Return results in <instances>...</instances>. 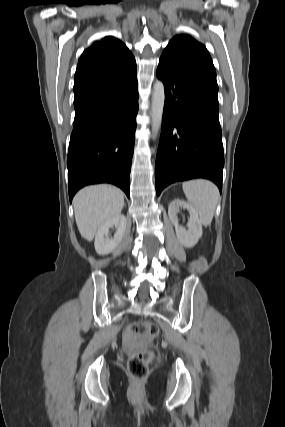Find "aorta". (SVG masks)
Masks as SVG:
<instances>
[{
  "instance_id": "1",
  "label": "aorta",
  "mask_w": 285,
  "mask_h": 427,
  "mask_svg": "<svg viewBox=\"0 0 285 427\" xmlns=\"http://www.w3.org/2000/svg\"><path fill=\"white\" fill-rule=\"evenodd\" d=\"M164 102H165L164 85L161 81L156 80V82L153 85L152 105H151L152 131L155 135L158 134L161 127Z\"/></svg>"
}]
</instances>
